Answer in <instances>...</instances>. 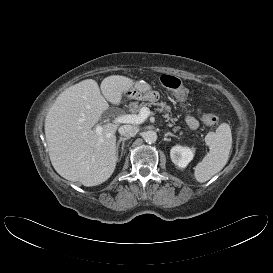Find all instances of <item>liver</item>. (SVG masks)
<instances>
[{
  "mask_svg": "<svg viewBox=\"0 0 273 273\" xmlns=\"http://www.w3.org/2000/svg\"><path fill=\"white\" fill-rule=\"evenodd\" d=\"M134 81L126 76L106 77L100 85L83 80L63 91L45 119V136L54 169L63 178L84 186L105 182L117 162L116 124L102 126L100 134L92 128L109 107L119 105L123 93Z\"/></svg>",
  "mask_w": 273,
  "mask_h": 273,
  "instance_id": "1",
  "label": "liver"
}]
</instances>
